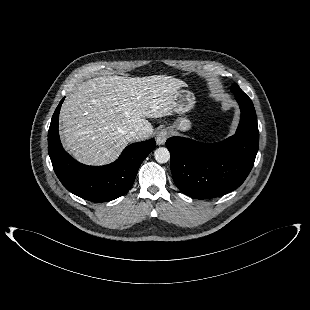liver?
<instances>
[{
    "label": "liver",
    "mask_w": 310,
    "mask_h": 310,
    "mask_svg": "<svg viewBox=\"0 0 310 310\" xmlns=\"http://www.w3.org/2000/svg\"><path fill=\"white\" fill-rule=\"evenodd\" d=\"M187 84L173 76H100L80 84L60 111V135L78 161L104 165L114 161L132 142L129 132L153 134L145 118H161L174 111V97Z\"/></svg>",
    "instance_id": "liver-1"
}]
</instances>
